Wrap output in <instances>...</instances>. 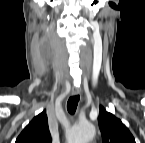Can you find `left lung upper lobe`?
<instances>
[{"mask_svg": "<svg viewBox=\"0 0 145 143\" xmlns=\"http://www.w3.org/2000/svg\"><path fill=\"white\" fill-rule=\"evenodd\" d=\"M98 122L102 133V143H135L133 135L121 120L103 107H100Z\"/></svg>", "mask_w": 145, "mask_h": 143, "instance_id": "1", "label": "left lung upper lobe"}]
</instances>
